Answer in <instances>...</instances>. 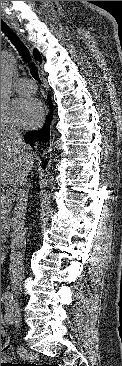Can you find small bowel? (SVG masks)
I'll list each match as a JSON object with an SVG mask.
<instances>
[{
    "label": "small bowel",
    "instance_id": "1",
    "mask_svg": "<svg viewBox=\"0 0 122 366\" xmlns=\"http://www.w3.org/2000/svg\"><path fill=\"white\" fill-rule=\"evenodd\" d=\"M3 324V322H2V315H1V325Z\"/></svg>",
    "mask_w": 122,
    "mask_h": 366
}]
</instances>
